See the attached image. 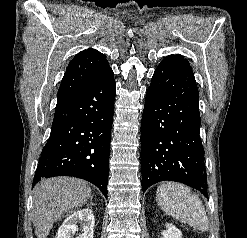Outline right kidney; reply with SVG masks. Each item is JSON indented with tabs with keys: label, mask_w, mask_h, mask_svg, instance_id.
Wrapping results in <instances>:
<instances>
[{
	"label": "right kidney",
	"mask_w": 247,
	"mask_h": 238,
	"mask_svg": "<svg viewBox=\"0 0 247 238\" xmlns=\"http://www.w3.org/2000/svg\"><path fill=\"white\" fill-rule=\"evenodd\" d=\"M78 223H83V230L77 238H93L95 219L89 208L74 211L69 215L58 229L55 238H71L77 231Z\"/></svg>",
	"instance_id": "ca27d5eb"
}]
</instances>
